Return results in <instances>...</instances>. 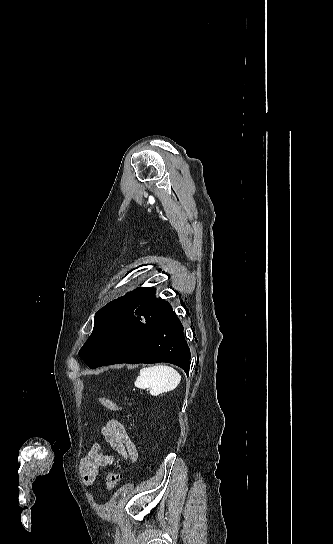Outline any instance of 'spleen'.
Masks as SVG:
<instances>
[{
  "mask_svg": "<svg viewBox=\"0 0 333 544\" xmlns=\"http://www.w3.org/2000/svg\"><path fill=\"white\" fill-rule=\"evenodd\" d=\"M180 374L172 367L156 365L140 370L136 378L135 386L141 389H149L150 394L157 396L174 390L180 383Z\"/></svg>",
  "mask_w": 333,
  "mask_h": 544,
  "instance_id": "3e777b00",
  "label": "spleen"
}]
</instances>
